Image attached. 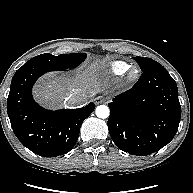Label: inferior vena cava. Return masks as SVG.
<instances>
[{"label": "inferior vena cava", "instance_id": "1", "mask_svg": "<svg viewBox=\"0 0 193 193\" xmlns=\"http://www.w3.org/2000/svg\"><path fill=\"white\" fill-rule=\"evenodd\" d=\"M87 102V98L82 96L80 93H73L67 98V103L70 106H81Z\"/></svg>", "mask_w": 193, "mask_h": 193}]
</instances>
